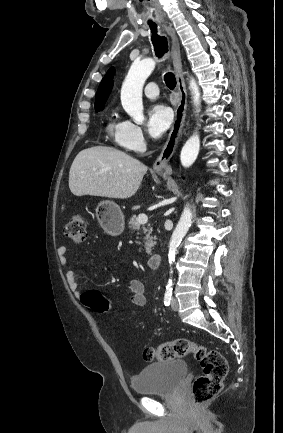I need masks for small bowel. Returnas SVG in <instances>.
Wrapping results in <instances>:
<instances>
[{"label": "small bowel", "instance_id": "small-bowel-1", "mask_svg": "<svg viewBox=\"0 0 283 433\" xmlns=\"http://www.w3.org/2000/svg\"><path fill=\"white\" fill-rule=\"evenodd\" d=\"M58 258L63 266H67L69 262V252L66 246H60L57 250ZM66 279L70 290L75 297H80L79 285L76 280L75 272L68 269ZM131 302L134 306L143 307L146 304L145 287L140 280H131L128 285Z\"/></svg>", "mask_w": 283, "mask_h": 433}]
</instances>
